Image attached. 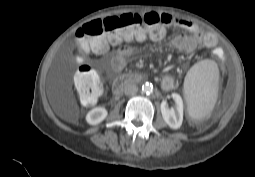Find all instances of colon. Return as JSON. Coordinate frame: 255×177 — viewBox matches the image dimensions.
I'll return each instance as SVG.
<instances>
[{"mask_svg":"<svg viewBox=\"0 0 255 177\" xmlns=\"http://www.w3.org/2000/svg\"><path fill=\"white\" fill-rule=\"evenodd\" d=\"M166 27L163 14L146 12L93 20L79 28L75 34L76 57L81 65L75 74L74 86L80 101L85 105H92L99 99L102 91V81L97 70L83 63L89 49L104 52L109 46L139 40L146 35L159 38Z\"/></svg>","mask_w":255,"mask_h":177,"instance_id":"1","label":"colon"}]
</instances>
